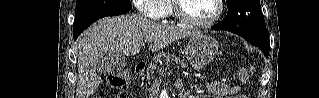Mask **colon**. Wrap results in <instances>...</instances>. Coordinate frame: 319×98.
<instances>
[{"label":"colon","mask_w":319,"mask_h":98,"mask_svg":"<svg viewBox=\"0 0 319 98\" xmlns=\"http://www.w3.org/2000/svg\"><path fill=\"white\" fill-rule=\"evenodd\" d=\"M238 75L240 78H243L245 73L240 72ZM108 83L112 88L122 91L118 96L119 98H130V94L125 91L129 83V75L127 72L123 71L111 75L108 79ZM98 98H101V96H98Z\"/></svg>","instance_id":"colon-1"}]
</instances>
